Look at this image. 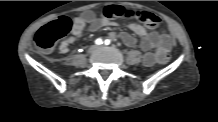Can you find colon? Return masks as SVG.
I'll return each mask as SVG.
<instances>
[{
  "label": "colon",
  "mask_w": 218,
  "mask_h": 122,
  "mask_svg": "<svg viewBox=\"0 0 218 122\" xmlns=\"http://www.w3.org/2000/svg\"><path fill=\"white\" fill-rule=\"evenodd\" d=\"M103 15L107 18L126 17L136 18L148 27L158 26L160 19L157 15L147 11H134L121 6H108L104 9ZM71 29V21L68 17L62 16L43 26L35 35L36 46L45 52L51 51L56 43L62 39ZM172 54H165L159 59L160 65H166L172 61Z\"/></svg>",
  "instance_id": "5ec220e1"
}]
</instances>
